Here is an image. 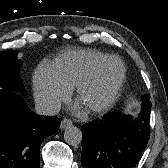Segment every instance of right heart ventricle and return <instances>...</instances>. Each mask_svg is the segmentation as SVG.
Here are the masks:
<instances>
[{"instance_id":"e07e8e85","label":"right heart ventricle","mask_w":168,"mask_h":168,"mask_svg":"<svg viewBox=\"0 0 168 168\" xmlns=\"http://www.w3.org/2000/svg\"><path fill=\"white\" fill-rule=\"evenodd\" d=\"M106 55L94 50L79 49L62 53L52 63L60 81L72 89L97 61Z\"/></svg>"}]
</instances>
